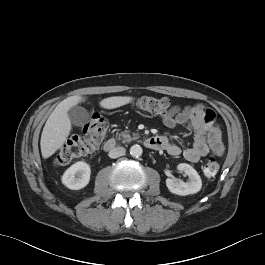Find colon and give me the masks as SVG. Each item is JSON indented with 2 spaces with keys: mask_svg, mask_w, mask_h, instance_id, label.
<instances>
[{
  "mask_svg": "<svg viewBox=\"0 0 265 265\" xmlns=\"http://www.w3.org/2000/svg\"><path fill=\"white\" fill-rule=\"evenodd\" d=\"M135 105L140 110L154 115L167 116L171 112V102L167 98L144 96L136 100ZM108 122L100 114H93L84 126L83 133L67 141L55 157L57 165H66L75 159L93 153L107 134ZM219 171V162L215 156L206 159L203 172L207 177H214Z\"/></svg>",
  "mask_w": 265,
  "mask_h": 265,
  "instance_id": "obj_1",
  "label": "colon"
}]
</instances>
